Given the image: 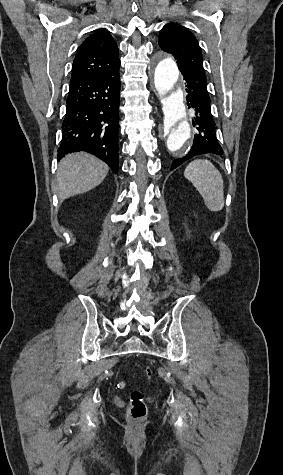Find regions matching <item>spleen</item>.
<instances>
[{
    "instance_id": "1",
    "label": "spleen",
    "mask_w": 283,
    "mask_h": 475,
    "mask_svg": "<svg viewBox=\"0 0 283 475\" xmlns=\"http://www.w3.org/2000/svg\"><path fill=\"white\" fill-rule=\"evenodd\" d=\"M185 178L192 182L199 194H201L205 206L211 212H220L224 208V186L223 178L209 162V160H194L188 164Z\"/></svg>"
}]
</instances>
